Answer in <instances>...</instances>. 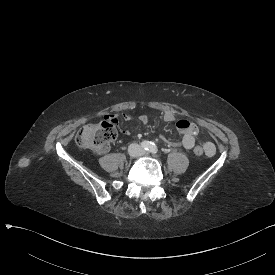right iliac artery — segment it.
Segmentation results:
<instances>
[{
	"label": "right iliac artery",
	"instance_id": "82829eb1",
	"mask_svg": "<svg viewBox=\"0 0 275 275\" xmlns=\"http://www.w3.org/2000/svg\"><path fill=\"white\" fill-rule=\"evenodd\" d=\"M150 145H151V142H149V141L144 140V141L141 142V147H142L144 150H149Z\"/></svg>",
	"mask_w": 275,
	"mask_h": 275
}]
</instances>
